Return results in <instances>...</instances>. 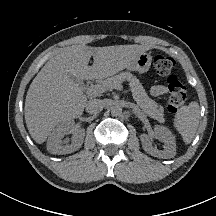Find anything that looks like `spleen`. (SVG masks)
<instances>
[{"label":"spleen","instance_id":"obj_1","mask_svg":"<svg viewBox=\"0 0 216 216\" xmlns=\"http://www.w3.org/2000/svg\"><path fill=\"white\" fill-rule=\"evenodd\" d=\"M200 118L199 104L195 101L179 109L175 115L173 125L181 134L183 141L189 144L198 128Z\"/></svg>","mask_w":216,"mask_h":216}]
</instances>
